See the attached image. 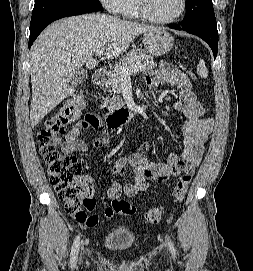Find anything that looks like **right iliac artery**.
I'll return each instance as SVG.
<instances>
[{
    "instance_id": "right-iliac-artery-1",
    "label": "right iliac artery",
    "mask_w": 253,
    "mask_h": 271,
    "mask_svg": "<svg viewBox=\"0 0 253 271\" xmlns=\"http://www.w3.org/2000/svg\"><path fill=\"white\" fill-rule=\"evenodd\" d=\"M79 245H80V237L77 236L74 240V243L71 249V255H70V264H71L72 269L75 267L76 262H77Z\"/></svg>"
}]
</instances>
